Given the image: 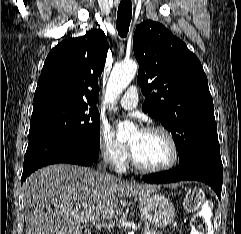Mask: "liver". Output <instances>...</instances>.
I'll return each mask as SVG.
<instances>
[{
    "label": "liver",
    "instance_id": "1",
    "mask_svg": "<svg viewBox=\"0 0 241 234\" xmlns=\"http://www.w3.org/2000/svg\"><path fill=\"white\" fill-rule=\"evenodd\" d=\"M22 188L25 234H81V224L119 216L120 197L156 190L155 185L130 183L70 164L44 167L29 176Z\"/></svg>",
    "mask_w": 241,
    "mask_h": 234
}]
</instances>
